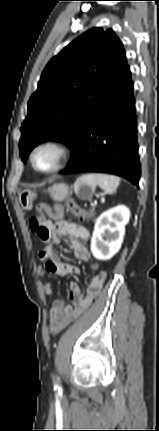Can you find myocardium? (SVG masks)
I'll use <instances>...</instances> for the list:
<instances>
[{
	"mask_svg": "<svg viewBox=\"0 0 159 431\" xmlns=\"http://www.w3.org/2000/svg\"><path fill=\"white\" fill-rule=\"evenodd\" d=\"M43 148H53L57 151L58 153V159L56 164L48 169V170H41L37 167L36 163H35V154ZM71 154V150L68 147V145L56 138H48V139H44L40 142H38L37 144H35L33 146V148L30 151V155H29V160L31 163L32 168L42 174H52L55 173L57 171H59L61 168H63L65 166V164L67 163L69 157Z\"/></svg>",
	"mask_w": 159,
	"mask_h": 431,
	"instance_id": "myocardium-1",
	"label": "myocardium"
}]
</instances>
